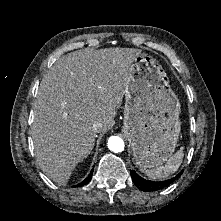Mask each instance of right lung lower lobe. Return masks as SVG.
<instances>
[{
	"label": "right lung lower lobe",
	"instance_id": "obj_1",
	"mask_svg": "<svg viewBox=\"0 0 221 221\" xmlns=\"http://www.w3.org/2000/svg\"><path fill=\"white\" fill-rule=\"evenodd\" d=\"M91 178H92V172L89 174V176H88L84 181H82V182H81L80 184H78V185H75V187L83 186V185L89 183V181L91 180Z\"/></svg>",
	"mask_w": 221,
	"mask_h": 221
}]
</instances>
